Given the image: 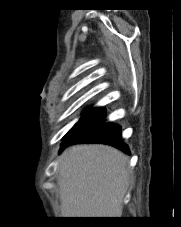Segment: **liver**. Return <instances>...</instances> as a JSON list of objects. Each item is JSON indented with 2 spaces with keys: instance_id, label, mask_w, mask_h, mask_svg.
<instances>
[{
  "instance_id": "obj_1",
  "label": "liver",
  "mask_w": 181,
  "mask_h": 227,
  "mask_svg": "<svg viewBox=\"0 0 181 227\" xmlns=\"http://www.w3.org/2000/svg\"><path fill=\"white\" fill-rule=\"evenodd\" d=\"M58 183L63 217H121L128 157L102 144L71 146L61 156Z\"/></svg>"
}]
</instances>
